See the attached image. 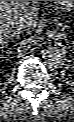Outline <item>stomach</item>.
<instances>
[{
    "instance_id": "1",
    "label": "stomach",
    "mask_w": 74,
    "mask_h": 122,
    "mask_svg": "<svg viewBox=\"0 0 74 122\" xmlns=\"http://www.w3.org/2000/svg\"><path fill=\"white\" fill-rule=\"evenodd\" d=\"M56 3L64 10H71L74 5V1H56Z\"/></svg>"
}]
</instances>
